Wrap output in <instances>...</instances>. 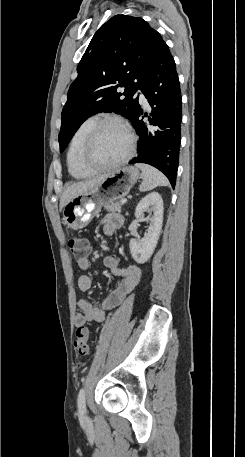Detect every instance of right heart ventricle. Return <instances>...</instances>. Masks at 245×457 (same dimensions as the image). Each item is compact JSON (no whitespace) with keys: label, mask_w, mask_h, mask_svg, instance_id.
<instances>
[{"label":"right heart ventricle","mask_w":245,"mask_h":457,"mask_svg":"<svg viewBox=\"0 0 245 457\" xmlns=\"http://www.w3.org/2000/svg\"><path fill=\"white\" fill-rule=\"evenodd\" d=\"M96 122V118L86 119L76 129L71 138L67 154V162L70 174L76 179H84L90 175L80 166L78 162V153L85 142L87 134Z\"/></svg>","instance_id":"right-heart-ventricle-1"}]
</instances>
